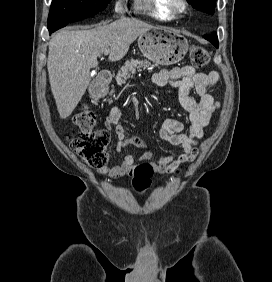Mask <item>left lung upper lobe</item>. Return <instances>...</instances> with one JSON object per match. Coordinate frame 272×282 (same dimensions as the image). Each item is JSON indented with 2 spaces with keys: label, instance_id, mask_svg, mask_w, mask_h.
<instances>
[{
  "label": "left lung upper lobe",
  "instance_id": "1",
  "mask_svg": "<svg viewBox=\"0 0 272 282\" xmlns=\"http://www.w3.org/2000/svg\"><path fill=\"white\" fill-rule=\"evenodd\" d=\"M192 7L203 12L213 14L216 0H187Z\"/></svg>",
  "mask_w": 272,
  "mask_h": 282
}]
</instances>
